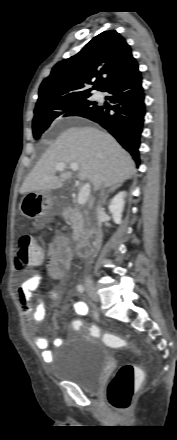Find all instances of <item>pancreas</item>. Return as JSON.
<instances>
[{
	"instance_id": "obj_1",
	"label": "pancreas",
	"mask_w": 177,
	"mask_h": 440,
	"mask_svg": "<svg viewBox=\"0 0 177 440\" xmlns=\"http://www.w3.org/2000/svg\"><path fill=\"white\" fill-rule=\"evenodd\" d=\"M63 217L71 222L73 229L72 239L74 241L79 240L88 233L90 220L87 212L82 211L78 207H67L63 209Z\"/></svg>"
}]
</instances>
